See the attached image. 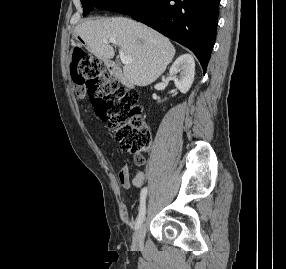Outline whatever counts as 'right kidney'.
<instances>
[{
  "mask_svg": "<svg viewBox=\"0 0 286 269\" xmlns=\"http://www.w3.org/2000/svg\"><path fill=\"white\" fill-rule=\"evenodd\" d=\"M170 75L173 77V81L177 89L182 93H187L193 83L195 75V62L190 54H183L178 57L172 64ZM180 73L177 77L176 74Z\"/></svg>",
  "mask_w": 286,
  "mask_h": 269,
  "instance_id": "ca27d5eb",
  "label": "right kidney"
}]
</instances>
